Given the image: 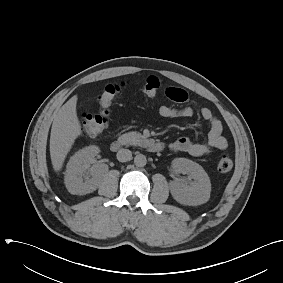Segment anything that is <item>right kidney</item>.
Here are the masks:
<instances>
[{"label":"right kidney","mask_w":283,"mask_h":283,"mask_svg":"<svg viewBox=\"0 0 283 283\" xmlns=\"http://www.w3.org/2000/svg\"><path fill=\"white\" fill-rule=\"evenodd\" d=\"M99 152L100 149L92 145L79 150L70 158L64 181L71 194L85 195L97 189L108 169L106 165L97 164L89 168Z\"/></svg>","instance_id":"right-kidney-1"}]
</instances>
